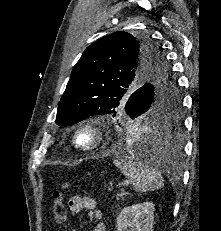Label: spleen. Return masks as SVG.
<instances>
[{"mask_svg":"<svg viewBox=\"0 0 221 231\" xmlns=\"http://www.w3.org/2000/svg\"><path fill=\"white\" fill-rule=\"evenodd\" d=\"M113 163L126 178L132 180L136 192L146 193L158 190L163 186L161 173L146 160L141 161L131 155L116 159Z\"/></svg>","mask_w":221,"mask_h":231,"instance_id":"spleen-1","label":"spleen"}]
</instances>
